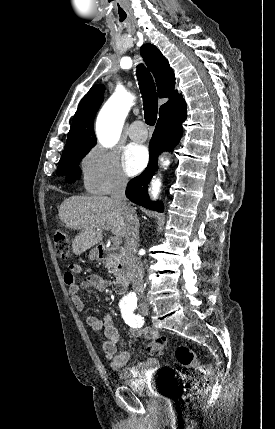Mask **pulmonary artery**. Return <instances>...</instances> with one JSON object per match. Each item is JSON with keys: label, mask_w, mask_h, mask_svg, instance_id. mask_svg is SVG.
<instances>
[{"label": "pulmonary artery", "mask_w": 275, "mask_h": 429, "mask_svg": "<svg viewBox=\"0 0 275 429\" xmlns=\"http://www.w3.org/2000/svg\"><path fill=\"white\" fill-rule=\"evenodd\" d=\"M128 134L129 137L136 142H144L148 137L146 127L140 120L132 122L129 127Z\"/></svg>", "instance_id": "pulmonary-artery-1"}]
</instances>
